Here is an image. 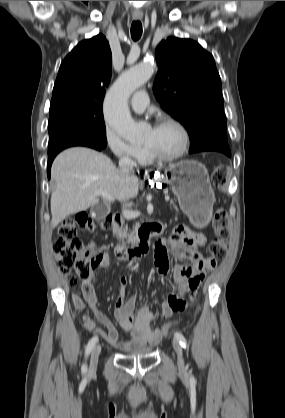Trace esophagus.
Listing matches in <instances>:
<instances>
[{
	"label": "esophagus",
	"mask_w": 285,
	"mask_h": 418,
	"mask_svg": "<svg viewBox=\"0 0 285 418\" xmlns=\"http://www.w3.org/2000/svg\"><path fill=\"white\" fill-rule=\"evenodd\" d=\"M133 18L135 19V20H140L141 18H142V15H133Z\"/></svg>",
	"instance_id": "34e87169"
}]
</instances>
